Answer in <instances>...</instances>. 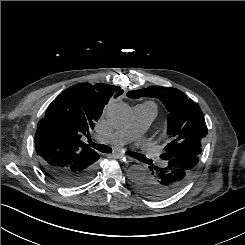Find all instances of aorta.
I'll use <instances>...</instances> for the list:
<instances>
[{"mask_svg": "<svg viewBox=\"0 0 245 245\" xmlns=\"http://www.w3.org/2000/svg\"><path fill=\"white\" fill-rule=\"evenodd\" d=\"M105 117L111 126L123 128L130 123L132 110L125 103H110L105 108ZM147 175V169L140 165H133L127 171V176L132 182H137Z\"/></svg>", "mask_w": 245, "mask_h": 245, "instance_id": "aorta-1", "label": "aorta"}]
</instances>
